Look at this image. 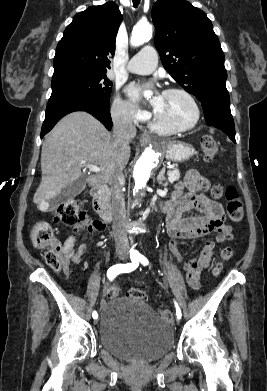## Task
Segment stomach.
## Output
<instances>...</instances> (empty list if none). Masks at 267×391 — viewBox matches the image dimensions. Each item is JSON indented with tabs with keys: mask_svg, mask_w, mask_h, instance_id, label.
<instances>
[{
	"mask_svg": "<svg viewBox=\"0 0 267 391\" xmlns=\"http://www.w3.org/2000/svg\"><path fill=\"white\" fill-rule=\"evenodd\" d=\"M194 154L193 146L184 142H172L166 148V158L173 162L187 161Z\"/></svg>",
	"mask_w": 267,
	"mask_h": 391,
	"instance_id": "1",
	"label": "stomach"
}]
</instances>
